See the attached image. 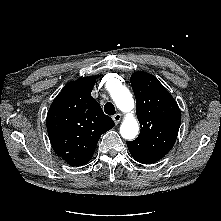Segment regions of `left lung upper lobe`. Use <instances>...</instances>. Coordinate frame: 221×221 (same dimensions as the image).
Segmentation results:
<instances>
[{"label":"left lung upper lobe","mask_w":221,"mask_h":221,"mask_svg":"<svg viewBox=\"0 0 221 221\" xmlns=\"http://www.w3.org/2000/svg\"><path fill=\"white\" fill-rule=\"evenodd\" d=\"M131 85L141 131L134 141H127V146L136 161L150 164L172 149L180 128L181 114L175 99L152 74L133 73Z\"/></svg>","instance_id":"5c2ea615"}]
</instances>
